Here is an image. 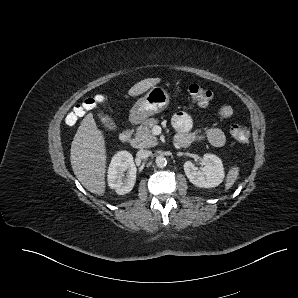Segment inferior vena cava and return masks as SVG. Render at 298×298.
<instances>
[{"instance_id":"602c4592","label":"inferior vena cava","mask_w":298,"mask_h":298,"mask_svg":"<svg viewBox=\"0 0 298 298\" xmlns=\"http://www.w3.org/2000/svg\"><path fill=\"white\" fill-rule=\"evenodd\" d=\"M151 154H152L151 150L142 149L137 152L136 156L138 159L144 160V159L149 158L151 156Z\"/></svg>"}]
</instances>
